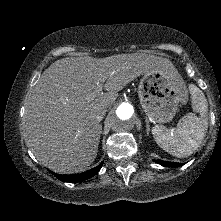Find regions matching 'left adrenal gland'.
Wrapping results in <instances>:
<instances>
[{"label":"left adrenal gland","mask_w":221,"mask_h":221,"mask_svg":"<svg viewBox=\"0 0 221 221\" xmlns=\"http://www.w3.org/2000/svg\"><path fill=\"white\" fill-rule=\"evenodd\" d=\"M146 127H147V134H149V131H150V125H149V121H148L147 118H146Z\"/></svg>","instance_id":"obj_1"}]
</instances>
